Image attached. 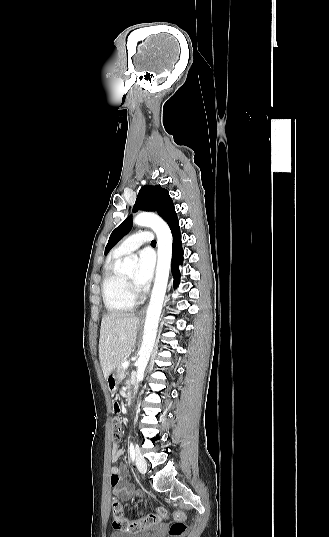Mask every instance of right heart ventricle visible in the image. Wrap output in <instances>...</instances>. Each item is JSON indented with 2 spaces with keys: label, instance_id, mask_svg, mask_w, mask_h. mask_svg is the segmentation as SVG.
Returning <instances> with one entry per match:
<instances>
[{
  "label": "right heart ventricle",
  "instance_id": "1",
  "mask_svg": "<svg viewBox=\"0 0 329 537\" xmlns=\"http://www.w3.org/2000/svg\"><path fill=\"white\" fill-rule=\"evenodd\" d=\"M121 256L113 254L106 263L102 279V297L110 313H122L131 310L135 301L128 294L122 274L117 268Z\"/></svg>",
  "mask_w": 329,
  "mask_h": 537
}]
</instances>
